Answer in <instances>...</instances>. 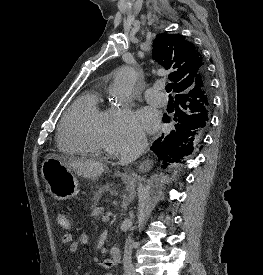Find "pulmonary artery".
Returning <instances> with one entry per match:
<instances>
[{"instance_id":"obj_1","label":"pulmonary artery","mask_w":263,"mask_h":275,"mask_svg":"<svg viewBox=\"0 0 263 275\" xmlns=\"http://www.w3.org/2000/svg\"><path fill=\"white\" fill-rule=\"evenodd\" d=\"M162 85L161 84H154L152 87L146 89L144 96L145 99L156 106H164L167 104V97L161 91Z\"/></svg>"}]
</instances>
